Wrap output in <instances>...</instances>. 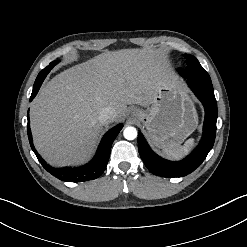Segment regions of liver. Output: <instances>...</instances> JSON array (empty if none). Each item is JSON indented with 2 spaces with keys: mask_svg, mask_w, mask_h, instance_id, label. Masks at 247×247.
<instances>
[{
  "mask_svg": "<svg viewBox=\"0 0 247 247\" xmlns=\"http://www.w3.org/2000/svg\"><path fill=\"white\" fill-rule=\"evenodd\" d=\"M159 51L122 49L99 54L52 78L30 106L34 145L54 166L80 164L102 131L103 108L121 121L127 105H150L161 86L175 82Z\"/></svg>",
  "mask_w": 247,
  "mask_h": 247,
  "instance_id": "1",
  "label": "liver"
}]
</instances>
